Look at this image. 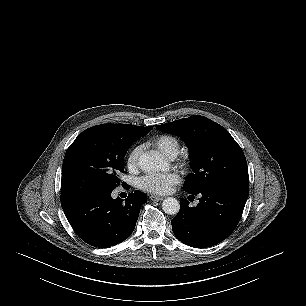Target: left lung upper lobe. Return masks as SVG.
<instances>
[{
	"label": "left lung upper lobe",
	"mask_w": 306,
	"mask_h": 306,
	"mask_svg": "<svg viewBox=\"0 0 306 306\" xmlns=\"http://www.w3.org/2000/svg\"><path fill=\"white\" fill-rule=\"evenodd\" d=\"M165 133L179 136L189 148L190 173L183 190L197 193L218 186L249 189L246 158L230 133L212 120L194 115L156 125Z\"/></svg>",
	"instance_id": "5c2ea615"
}]
</instances>
